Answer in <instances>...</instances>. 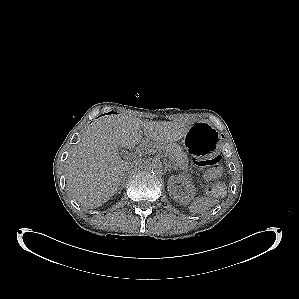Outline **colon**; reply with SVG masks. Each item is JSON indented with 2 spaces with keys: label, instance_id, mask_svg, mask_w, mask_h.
<instances>
[{
  "label": "colon",
  "instance_id": "colon-1",
  "mask_svg": "<svg viewBox=\"0 0 299 299\" xmlns=\"http://www.w3.org/2000/svg\"><path fill=\"white\" fill-rule=\"evenodd\" d=\"M222 157L221 156H215L209 160L205 161H195V164L205 170V177L208 180H213L217 178L222 171ZM216 186L210 185L207 188V194L213 195L216 192Z\"/></svg>",
  "mask_w": 299,
  "mask_h": 299
}]
</instances>
